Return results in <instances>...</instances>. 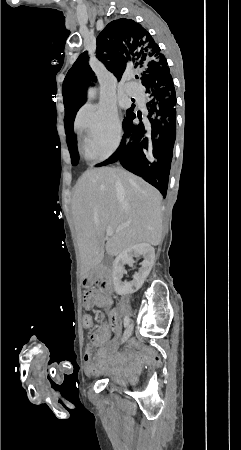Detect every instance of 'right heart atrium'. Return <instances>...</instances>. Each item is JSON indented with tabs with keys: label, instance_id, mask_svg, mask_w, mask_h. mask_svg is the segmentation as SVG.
<instances>
[{
	"label": "right heart atrium",
	"instance_id": "right-heart-atrium-1",
	"mask_svg": "<svg viewBox=\"0 0 241 450\" xmlns=\"http://www.w3.org/2000/svg\"><path fill=\"white\" fill-rule=\"evenodd\" d=\"M77 130H86L84 154L105 159L112 155L120 141L122 126L114 107L97 104L89 107L86 116L75 123Z\"/></svg>",
	"mask_w": 241,
	"mask_h": 450
}]
</instances>
